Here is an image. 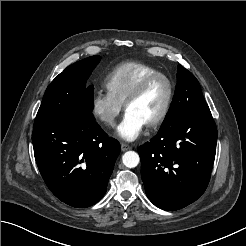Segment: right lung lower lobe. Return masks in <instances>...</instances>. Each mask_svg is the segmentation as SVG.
<instances>
[{
	"label": "right lung lower lobe",
	"instance_id": "98d812e1",
	"mask_svg": "<svg viewBox=\"0 0 246 246\" xmlns=\"http://www.w3.org/2000/svg\"><path fill=\"white\" fill-rule=\"evenodd\" d=\"M32 142L39 171L58 199L83 208L104 196L120 145L93 117L35 121Z\"/></svg>",
	"mask_w": 246,
	"mask_h": 246
}]
</instances>
